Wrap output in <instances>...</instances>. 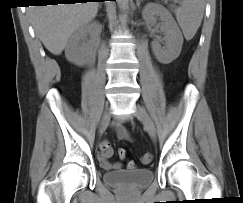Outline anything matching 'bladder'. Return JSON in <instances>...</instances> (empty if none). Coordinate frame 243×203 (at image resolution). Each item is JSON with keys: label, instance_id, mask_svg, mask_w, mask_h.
Here are the masks:
<instances>
[{"label": "bladder", "instance_id": "obj_1", "mask_svg": "<svg viewBox=\"0 0 243 203\" xmlns=\"http://www.w3.org/2000/svg\"><path fill=\"white\" fill-rule=\"evenodd\" d=\"M102 178L108 185L128 190H140L153 181L154 173L150 168L107 171L103 173Z\"/></svg>", "mask_w": 243, "mask_h": 203}]
</instances>
